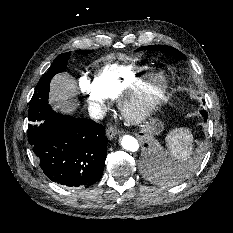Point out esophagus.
<instances>
[{
    "mask_svg": "<svg viewBox=\"0 0 233 233\" xmlns=\"http://www.w3.org/2000/svg\"><path fill=\"white\" fill-rule=\"evenodd\" d=\"M117 134V129L113 126H108L106 129V135L108 139H113Z\"/></svg>",
    "mask_w": 233,
    "mask_h": 233,
    "instance_id": "34e87169",
    "label": "esophagus"
}]
</instances>
